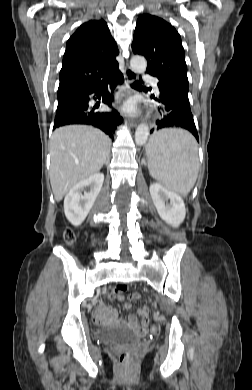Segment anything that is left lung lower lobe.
Wrapping results in <instances>:
<instances>
[{"label": "left lung lower lobe", "mask_w": 252, "mask_h": 390, "mask_svg": "<svg viewBox=\"0 0 252 390\" xmlns=\"http://www.w3.org/2000/svg\"><path fill=\"white\" fill-rule=\"evenodd\" d=\"M158 88L160 98L153 97V99L162 104L161 109L165 115L162 120L156 122L151 133L162 128L181 127L189 130L199 141L188 99V90L165 80H159Z\"/></svg>", "instance_id": "left-lung-lower-lobe-1"}]
</instances>
